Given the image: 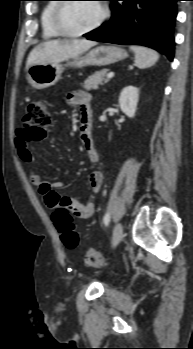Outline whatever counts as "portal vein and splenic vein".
<instances>
[{"label": "portal vein and splenic vein", "mask_w": 193, "mask_h": 349, "mask_svg": "<svg viewBox=\"0 0 193 349\" xmlns=\"http://www.w3.org/2000/svg\"><path fill=\"white\" fill-rule=\"evenodd\" d=\"M113 76H114V73H113V72H110V73L107 74V78H108V79L112 78Z\"/></svg>", "instance_id": "18ae733b"}]
</instances>
